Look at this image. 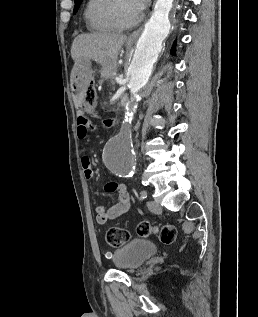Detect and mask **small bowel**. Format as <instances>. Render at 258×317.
I'll use <instances>...</instances> for the list:
<instances>
[{
  "label": "small bowel",
  "instance_id": "1",
  "mask_svg": "<svg viewBox=\"0 0 258 317\" xmlns=\"http://www.w3.org/2000/svg\"><path fill=\"white\" fill-rule=\"evenodd\" d=\"M116 124L114 120H106L101 125L104 128L112 127ZM89 120L85 118H79L77 121V137L81 140L88 136L90 129H95ZM81 166L84 171V175L87 179L94 176L91 159L87 155L81 157ZM104 191L106 193H116L117 202L109 209H106L102 204L97 203L95 205V212L97 214L96 220L99 224H106L109 221L124 215L130 208V196L126 189V186L116 181H110L105 184Z\"/></svg>",
  "mask_w": 258,
  "mask_h": 317
}]
</instances>
